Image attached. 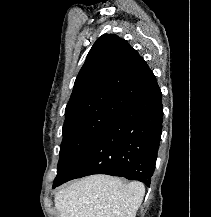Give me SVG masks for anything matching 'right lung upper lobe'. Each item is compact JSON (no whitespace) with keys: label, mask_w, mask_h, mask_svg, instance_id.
Returning <instances> with one entry per match:
<instances>
[{"label":"right lung upper lobe","mask_w":211,"mask_h":217,"mask_svg":"<svg viewBox=\"0 0 211 217\" xmlns=\"http://www.w3.org/2000/svg\"><path fill=\"white\" fill-rule=\"evenodd\" d=\"M156 85L152 71L126 40L104 34L79 71L65 121L99 112L118 114Z\"/></svg>","instance_id":"cb5924a9"}]
</instances>
